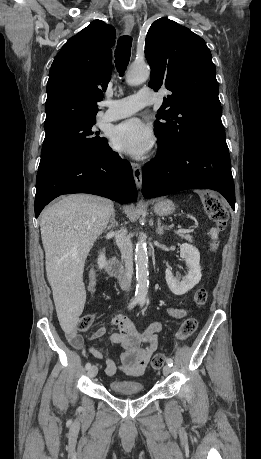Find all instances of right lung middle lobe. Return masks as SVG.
Returning a JSON list of instances; mask_svg holds the SVG:
<instances>
[{
    "mask_svg": "<svg viewBox=\"0 0 261 459\" xmlns=\"http://www.w3.org/2000/svg\"><path fill=\"white\" fill-rule=\"evenodd\" d=\"M95 122L68 121L45 128L37 176L66 160L101 153L108 143L94 129Z\"/></svg>",
    "mask_w": 261,
    "mask_h": 459,
    "instance_id": "right-lung-middle-lobe-1",
    "label": "right lung middle lobe"
}]
</instances>
